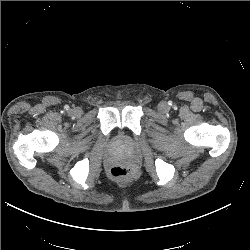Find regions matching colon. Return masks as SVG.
Returning <instances> with one entry per match:
<instances>
[{
	"instance_id": "obj_1",
	"label": "colon",
	"mask_w": 250,
	"mask_h": 250,
	"mask_svg": "<svg viewBox=\"0 0 250 250\" xmlns=\"http://www.w3.org/2000/svg\"><path fill=\"white\" fill-rule=\"evenodd\" d=\"M133 175V171L127 167L114 166L110 169V176L116 180H122L130 178Z\"/></svg>"
}]
</instances>
